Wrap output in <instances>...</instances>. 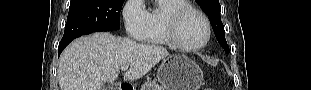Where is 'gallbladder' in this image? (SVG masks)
<instances>
[{"label": "gallbladder", "instance_id": "gallbladder-1", "mask_svg": "<svg viewBox=\"0 0 311 90\" xmlns=\"http://www.w3.org/2000/svg\"><path fill=\"white\" fill-rule=\"evenodd\" d=\"M102 90H114V85L104 84L102 85Z\"/></svg>", "mask_w": 311, "mask_h": 90}]
</instances>
